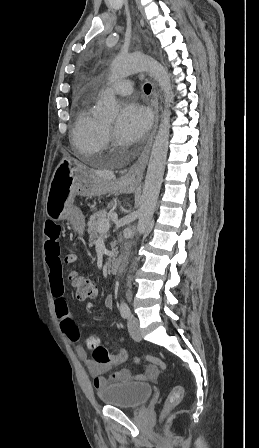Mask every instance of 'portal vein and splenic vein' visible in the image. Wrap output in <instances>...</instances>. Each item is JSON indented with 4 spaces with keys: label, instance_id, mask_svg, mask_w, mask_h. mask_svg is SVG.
<instances>
[{
    "label": "portal vein and splenic vein",
    "instance_id": "portal-vein-and-splenic-vein-1",
    "mask_svg": "<svg viewBox=\"0 0 259 448\" xmlns=\"http://www.w3.org/2000/svg\"><path fill=\"white\" fill-rule=\"evenodd\" d=\"M113 218H115V220H117V214H115V216H113ZM109 228H110V220H106V218H102V220H100V222L98 224L99 232H108Z\"/></svg>",
    "mask_w": 259,
    "mask_h": 448
}]
</instances>
